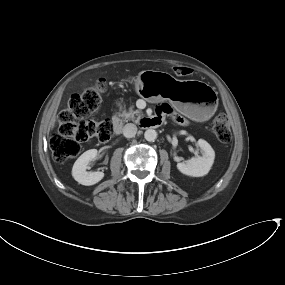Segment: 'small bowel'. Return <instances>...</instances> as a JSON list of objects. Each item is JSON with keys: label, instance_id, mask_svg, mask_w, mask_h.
<instances>
[{"label": "small bowel", "instance_id": "1", "mask_svg": "<svg viewBox=\"0 0 285 285\" xmlns=\"http://www.w3.org/2000/svg\"><path fill=\"white\" fill-rule=\"evenodd\" d=\"M162 114H163V111L159 110L158 111V116L156 117V121H160L161 120Z\"/></svg>", "mask_w": 285, "mask_h": 285}]
</instances>
